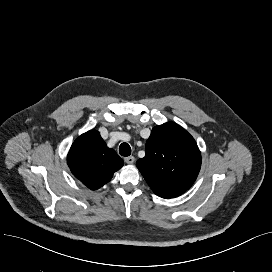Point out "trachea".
<instances>
[{
    "mask_svg": "<svg viewBox=\"0 0 272 272\" xmlns=\"http://www.w3.org/2000/svg\"><path fill=\"white\" fill-rule=\"evenodd\" d=\"M119 153L121 156H130L131 154V147L127 143H122L119 147Z\"/></svg>",
    "mask_w": 272,
    "mask_h": 272,
    "instance_id": "1",
    "label": "trachea"
}]
</instances>
